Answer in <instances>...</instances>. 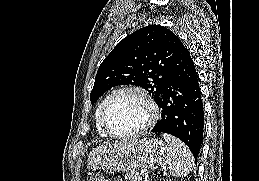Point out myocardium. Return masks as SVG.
<instances>
[{"instance_id": "1", "label": "myocardium", "mask_w": 259, "mask_h": 181, "mask_svg": "<svg viewBox=\"0 0 259 181\" xmlns=\"http://www.w3.org/2000/svg\"><path fill=\"white\" fill-rule=\"evenodd\" d=\"M125 92L136 93L145 101V103L147 104L148 109H149V117H148L147 121L145 122V124L137 130H134V131H131L128 133H116V132L112 131L110 129V127L108 126L107 120H106V113H107V109H108L110 103L112 102V100L119 94H122ZM158 118H159V110H158V106H157L156 102L150 96V94L148 93L147 90H145L144 88L137 86V85H126V86H122V87L114 90L105 99V101L102 105V108H101V112H100V122H101L102 127L105 129V131L107 132V134L109 136L117 138V139H129V138H134V137L142 135L143 133H145L151 127H153L155 125Z\"/></svg>"}]
</instances>
